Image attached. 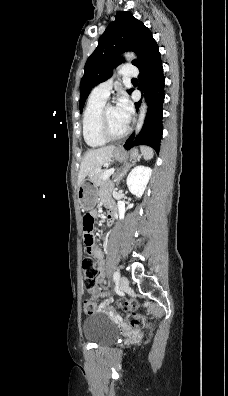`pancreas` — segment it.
<instances>
[{"mask_svg":"<svg viewBox=\"0 0 228 396\" xmlns=\"http://www.w3.org/2000/svg\"><path fill=\"white\" fill-rule=\"evenodd\" d=\"M106 170H101L99 172H93L90 175V180L95 186H102L105 184V180H103V174Z\"/></svg>","mask_w":228,"mask_h":396,"instance_id":"1","label":"pancreas"}]
</instances>
